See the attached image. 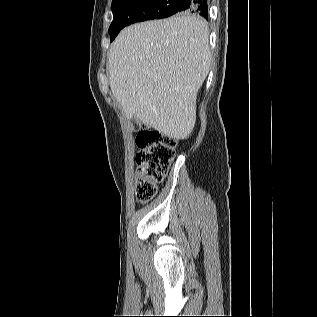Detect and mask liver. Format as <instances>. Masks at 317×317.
Returning <instances> with one entry per match:
<instances>
[{
	"label": "liver",
	"instance_id": "obj_1",
	"mask_svg": "<svg viewBox=\"0 0 317 317\" xmlns=\"http://www.w3.org/2000/svg\"><path fill=\"white\" fill-rule=\"evenodd\" d=\"M210 66L207 23L191 15L126 27L112 43L107 64L125 116L177 140L194 128L197 93Z\"/></svg>",
	"mask_w": 317,
	"mask_h": 317
}]
</instances>
